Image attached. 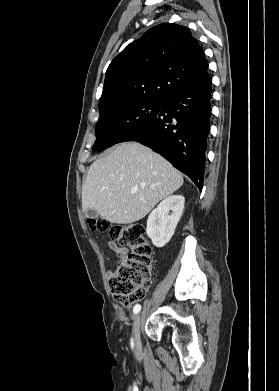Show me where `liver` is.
Returning a JSON list of instances; mask_svg holds the SVG:
<instances>
[{
    "instance_id": "1",
    "label": "liver",
    "mask_w": 279,
    "mask_h": 391,
    "mask_svg": "<svg viewBox=\"0 0 279 391\" xmlns=\"http://www.w3.org/2000/svg\"><path fill=\"white\" fill-rule=\"evenodd\" d=\"M183 184L181 173L150 148L125 142L94 161L82 186V209L130 224Z\"/></svg>"
}]
</instances>
